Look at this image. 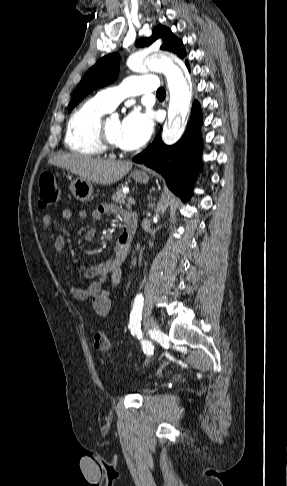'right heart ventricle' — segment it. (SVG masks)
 <instances>
[{
    "instance_id": "1",
    "label": "right heart ventricle",
    "mask_w": 287,
    "mask_h": 486,
    "mask_svg": "<svg viewBox=\"0 0 287 486\" xmlns=\"http://www.w3.org/2000/svg\"><path fill=\"white\" fill-rule=\"evenodd\" d=\"M110 109L96 98L81 104L70 116L65 134V145L73 153L98 157L105 153L98 137L102 117Z\"/></svg>"
}]
</instances>
